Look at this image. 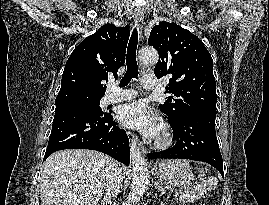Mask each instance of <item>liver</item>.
I'll return each mask as SVG.
<instances>
[{"mask_svg": "<svg viewBox=\"0 0 269 205\" xmlns=\"http://www.w3.org/2000/svg\"><path fill=\"white\" fill-rule=\"evenodd\" d=\"M113 160L93 150H63L44 162L41 205H97Z\"/></svg>", "mask_w": 269, "mask_h": 205, "instance_id": "liver-1", "label": "liver"}]
</instances>
